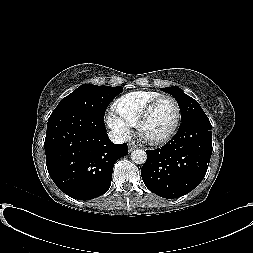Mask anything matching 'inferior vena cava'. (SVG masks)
I'll return each instance as SVG.
<instances>
[{
    "instance_id": "obj_1",
    "label": "inferior vena cava",
    "mask_w": 253,
    "mask_h": 253,
    "mask_svg": "<svg viewBox=\"0 0 253 253\" xmlns=\"http://www.w3.org/2000/svg\"><path fill=\"white\" fill-rule=\"evenodd\" d=\"M109 138L115 144H122L128 140L127 136L115 131L109 132Z\"/></svg>"
}]
</instances>
